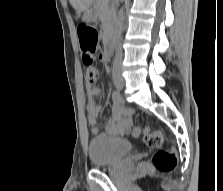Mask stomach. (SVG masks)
<instances>
[{"label":"stomach","mask_w":223,"mask_h":191,"mask_svg":"<svg viewBox=\"0 0 223 191\" xmlns=\"http://www.w3.org/2000/svg\"><path fill=\"white\" fill-rule=\"evenodd\" d=\"M83 20L86 22H91L94 20V13L92 10L89 8L85 9L84 14H83Z\"/></svg>","instance_id":"1"}]
</instances>
